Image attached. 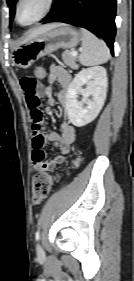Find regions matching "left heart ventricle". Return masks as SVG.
<instances>
[{
    "label": "left heart ventricle",
    "instance_id": "b2bd125f",
    "mask_svg": "<svg viewBox=\"0 0 134 281\" xmlns=\"http://www.w3.org/2000/svg\"><path fill=\"white\" fill-rule=\"evenodd\" d=\"M46 0H24L19 8V20L23 24L36 19L45 8Z\"/></svg>",
    "mask_w": 134,
    "mask_h": 281
}]
</instances>
